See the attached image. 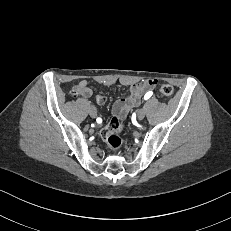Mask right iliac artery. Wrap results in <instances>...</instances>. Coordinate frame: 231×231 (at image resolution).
Listing matches in <instances>:
<instances>
[{"mask_svg":"<svg viewBox=\"0 0 231 231\" xmlns=\"http://www.w3.org/2000/svg\"><path fill=\"white\" fill-rule=\"evenodd\" d=\"M97 122H98V123H101V122H102V119H101V118H97Z\"/></svg>","mask_w":231,"mask_h":231,"instance_id":"right-iliac-artery-1","label":"right iliac artery"}]
</instances>
